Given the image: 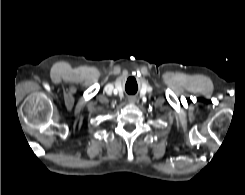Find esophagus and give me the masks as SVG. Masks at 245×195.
I'll list each match as a JSON object with an SVG mask.
<instances>
[{"label": "esophagus", "mask_w": 245, "mask_h": 195, "mask_svg": "<svg viewBox=\"0 0 245 195\" xmlns=\"http://www.w3.org/2000/svg\"><path fill=\"white\" fill-rule=\"evenodd\" d=\"M129 102L134 103V102H135V98L130 97V98H129Z\"/></svg>", "instance_id": "34e87169"}]
</instances>
